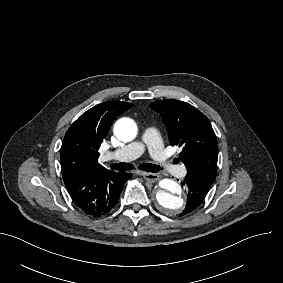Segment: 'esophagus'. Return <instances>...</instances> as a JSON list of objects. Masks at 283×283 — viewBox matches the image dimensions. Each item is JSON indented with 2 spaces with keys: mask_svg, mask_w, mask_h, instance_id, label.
<instances>
[{
  "mask_svg": "<svg viewBox=\"0 0 283 283\" xmlns=\"http://www.w3.org/2000/svg\"><path fill=\"white\" fill-rule=\"evenodd\" d=\"M137 174L143 176L147 181L149 182H156L159 180V175L156 173H151V172H143V171H137Z\"/></svg>",
  "mask_w": 283,
  "mask_h": 283,
  "instance_id": "esophagus-1",
  "label": "esophagus"
}]
</instances>
